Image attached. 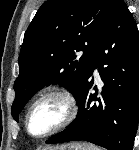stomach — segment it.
<instances>
[{
    "label": "stomach",
    "instance_id": "1",
    "mask_svg": "<svg viewBox=\"0 0 139 150\" xmlns=\"http://www.w3.org/2000/svg\"><path fill=\"white\" fill-rule=\"evenodd\" d=\"M49 150H87V148L80 144L69 143V144L57 146L55 148H51Z\"/></svg>",
    "mask_w": 139,
    "mask_h": 150
}]
</instances>
